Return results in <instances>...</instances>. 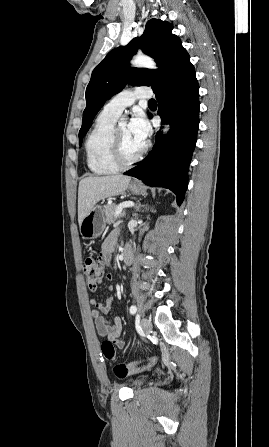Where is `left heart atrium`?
<instances>
[{
    "mask_svg": "<svg viewBox=\"0 0 269 447\" xmlns=\"http://www.w3.org/2000/svg\"><path fill=\"white\" fill-rule=\"evenodd\" d=\"M129 128L133 135L144 142H146L147 138L150 135L149 123L144 114L140 111H136L134 113Z\"/></svg>",
    "mask_w": 269,
    "mask_h": 447,
    "instance_id": "1",
    "label": "left heart atrium"
}]
</instances>
